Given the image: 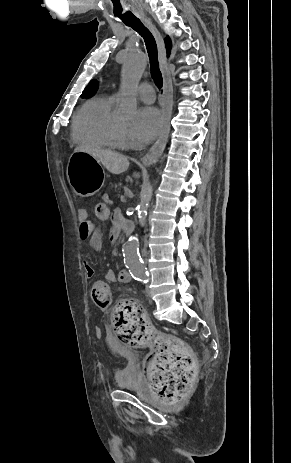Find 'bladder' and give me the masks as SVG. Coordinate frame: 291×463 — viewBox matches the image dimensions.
Here are the masks:
<instances>
[{
    "mask_svg": "<svg viewBox=\"0 0 291 463\" xmlns=\"http://www.w3.org/2000/svg\"><path fill=\"white\" fill-rule=\"evenodd\" d=\"M116 355L124 362V367L118 371L116 382L119 388L133 389L138 386L139 378L136 372V358L134 351L125 348L122 352H117Z\"/></svg>",
    "mask_w": 291,
    "mask_h": 463,
    "instance_id": "obj_1",
    "label": "bladder"
}]
</instances>
